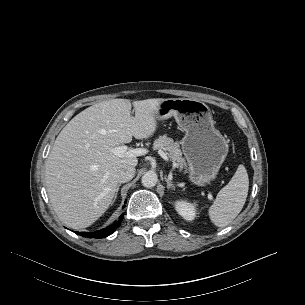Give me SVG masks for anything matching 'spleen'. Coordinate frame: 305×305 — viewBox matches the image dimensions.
<instances>
[{
	"label": "spleen",
	"mask_w": 305,
	"mask_h": 305,
	"mask_svg": "<svg viewBox=\"0 0 305 305\" xmlns=\"http://www.w3.org/2000/svg\"><path fill=\"white\" fill-rule=\"evenodd\" d=\"M249 179L243 165H239L229 183L216 196L209 208V216L214 225L225 227L241 212L248 195Z\"/></svg>",
	"instance_id": "1"
}]
</instances>
